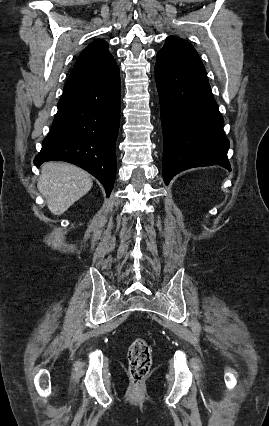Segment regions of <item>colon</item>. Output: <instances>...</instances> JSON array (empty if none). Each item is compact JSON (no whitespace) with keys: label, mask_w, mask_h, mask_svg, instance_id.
I'll return each instance as SVG.
<instances>
[{"label":"colon","mask_w":269,"mask_h":426,"mask_svg":"<svg viewBox=\"0 0 269 426\" xmlns=\"http://www.w3.org/2000/svg\"><path fill=\"white\" fill-rule=\"evenodd\" d=\"M129 372L135 383L140 385L148 375L152 365V351L144 338H136L128 351Z\"/></svg>","instance_id":"1"}]
</instances>
